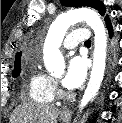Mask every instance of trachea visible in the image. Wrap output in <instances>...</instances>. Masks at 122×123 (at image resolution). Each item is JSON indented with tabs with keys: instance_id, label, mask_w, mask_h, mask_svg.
I'll list each match as a JSON object with an SVG mask.
<instances>
[{
	"instance_id": "obj_1",
	"label": "trachea",
	"mask_w": 122,
	"mask_h": 123,
	"mask_svg": "<svg viewBox=\"0 0 122 123\" xmlns=\"http://www.w3.org/2000/svg\"><path fill=\"white\" fill-rule=\"evenodd\" d=\"M85 45H91V41H90V40H87V41L85 42Z\"/></svg>"
}]
</instances>
